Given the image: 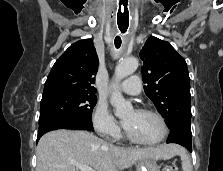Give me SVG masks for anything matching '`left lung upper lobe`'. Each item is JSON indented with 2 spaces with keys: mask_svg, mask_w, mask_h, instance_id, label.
<instances>
[{
  "mask_svg": "<svg viewBox=\"0 0 223 171\" xmlns=\"http://www.w3.org/2000/svg\"><path fill=\"white\" fill-rule=\"evenodd\" d=\"M146 95L165 119L169 129L191 131L190 79L185 59L167 41L147 39L140 52Z\"/></svg>",
  "mask_w": 223,
  "mask_h": 171,
  "instance_id": "obj_1",
  "label": "left lung upper lobe"
}]
</instances>
